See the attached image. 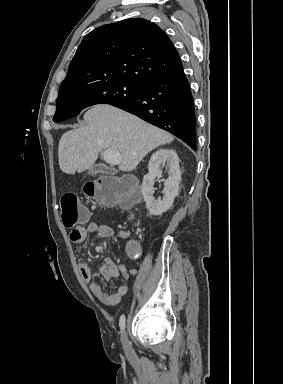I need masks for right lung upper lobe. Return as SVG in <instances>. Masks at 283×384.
Returning <instances> with one entry per match:
<instances>
[{
	"label": "right lung upper lobe",
	"instance_id": "1",
	"mask_svg": "<svg viewBox=\"0 0 283 384\" xmlns=\"http://www.w3.org/2000/svg\"><path fill=\"white\" fill-rule=\"evenodd\" d=\"M183 69L172 41L156 24L132 18L88 33L60 88L125 80L139 85Z\"/></svg>",
	"mask_w": 283,
	"mask_h": 384
}]
</instances>
